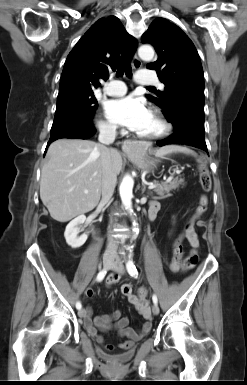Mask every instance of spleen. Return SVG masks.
Instances as JSON below:
<instances>
[{
  "label": "spleen",
  "mask_w": 247,
  "mask_h": 385,
  "mask_svg": "<svg viewBox=\"0 0 247 385\" xmlns=\"http://www.w3.org/2000/svg\"><path fill=\"white\" fill-rule=\"evenodd\" d=\"M172 153H184V154H191L196 155L195 152L191 149H189L186 146H180V145H166L161 148H159L156 151V157L163 158L166 155L172 154Z\"/></svg>",
  "instance_id": "1"
}]
</instances>
